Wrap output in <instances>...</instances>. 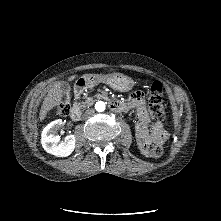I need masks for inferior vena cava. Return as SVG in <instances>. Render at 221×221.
Listing matches in <instances>:
<instances>
[{
    "label": "inferior vena cava",
    "instance_id": "inferior-vena-cava-1",
    "mask_svg": "<svg viewBox=\"0 0 221 221\" xmlns=\"http://www.w3.org/2000/svg\"><path fill=\"white\" fill-rule=\"evenodd\" d=\"M93 114H94V109H88L85 111L83 117L88 118V117L92 116Z\"/></svg>",
    "mask_w": 221,
    "mask_h": 221
}]
</instances>
